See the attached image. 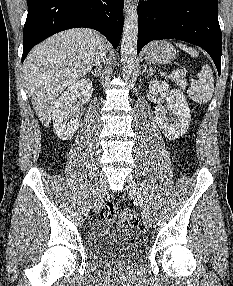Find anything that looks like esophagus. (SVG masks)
I'll return each instance as SVG.
<instances>
[{"instance_id": "esophagus-1", "label": "esophagus", "mask_w": 233, "mask_h": 286, "mask_svg": "<svg viewBox=\"0 0 233 286\" xmlns=\"http://www.w3.org/2000/svg\"><path fill=\"white\" fill-rule=\"evenodd\" d=\"M132 8H134L133 0H125V11L128 12Z\"/></svg>"}]
</instances>
